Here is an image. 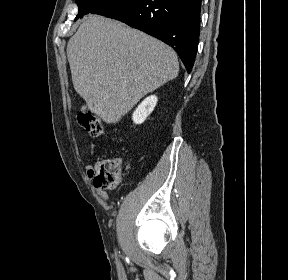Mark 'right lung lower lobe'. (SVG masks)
Segmentation results:
<instances>
[{"label": "right lung lower lobe", "instance_id": "1", "mask_svg": "<svg viewBox=\"0 0 288 280\" xmlns=\"http://www.w3.org/2000/svg\"><path fill=\"white\" fill-rule=\"evenodd\" d=\"M201 0H110L91 13L122 21L170 45L188 73L200 33Z\"/></svg>", "mask_w": 288, "mask_h": 280}]
</instances>
